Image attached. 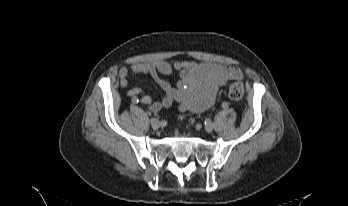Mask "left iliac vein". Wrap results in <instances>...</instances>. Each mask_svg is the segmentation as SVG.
<instances>
[{"label": "left iliac vein", "instance_id": "obj_1", "mask_svg": "<svg viewBox=\"0 0 348 206\" xmlns=\"http://www.w3.org/2000/svg\"><path fill=\"white\" fill-rule=\"evenodd\" d=\"M204 129H205V131L208 132V133L212 132L213 129H214L213 123L207 122V123L205 124V126H204Z\"/></svg>", "mask_w": 348, "mask_h": 206}]
</instances>
